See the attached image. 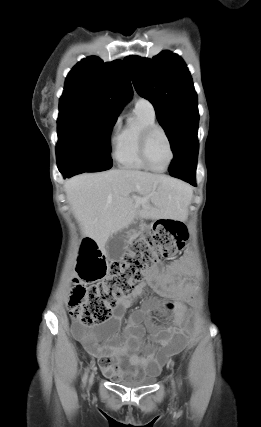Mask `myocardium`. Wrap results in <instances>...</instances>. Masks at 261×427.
I'll use <instances>...</instances> for the list:
<instances>
[{
    "label": "myocardium",
    "instance_id": "1",
    "mask_svg": "<svg viewBox=\"0 0 261 427\" xmlns=\"http://www.w3.org/2000/svg\"><path fill=\"white\" fill-rule=\"evenodd\" d=\"M158 132L161 133L165 137L167 144H168V147H169V151H170L169 160H168L166 166L162 169H157V168L153 167L149 161V158H148L149 142H150L152 136ZM139 155H140V158H141L142 162L144 163V165L149 170H152L154 172H165L170 167V165L172 164V162L174 160L175 153H174L172 141H171L168 133L165 131L164 128H162L159 125H152V126L146 127L145 129L142 130V132L140 134V138H139Z\"/></svg>",
    "mask_w": 261,
    "mask_h": 427
}]
</instances>
